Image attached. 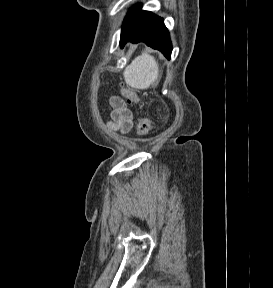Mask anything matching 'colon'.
<instances>
[{"label":"colon","instance_id":"1","mask_svg":"<svg viewBox=\"0 0 273 288\" xmlns=\"http://www.w3.org/2000/svg\"><path fill=\"white\" fill-rule=\"evenodd\" d=\"M121 94L129 103H137L139 101L137 93L131 88L122 87ZM151 128V120L148 117H141L136 126V133L138 136H145L151 131Z\"/></svg>","mask_w":273,"mask_h":288}]
</instances>
